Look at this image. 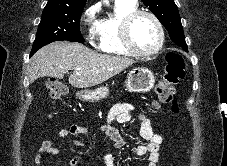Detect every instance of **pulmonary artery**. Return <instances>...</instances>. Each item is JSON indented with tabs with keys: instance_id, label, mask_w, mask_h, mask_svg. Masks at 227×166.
<instances>
[{
	"instance_id": "e3ab8cb5",
	"label": "pulmonary artery",
	"mask_w": 227,
	"mask_h": 166,
	"mask_svg": "<svg viewBox=\"0 0 227 166\" xmlns=\"http://www.w3.org/2000/svg\"><path fill=\"white\" fill-rule=\"evenodd\" d=\"M115 1L126 2V3H131V4H135L136 3V0H115Z\"/></svg>"
}]
</instances>
